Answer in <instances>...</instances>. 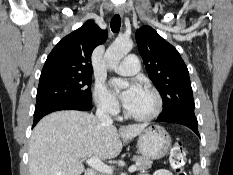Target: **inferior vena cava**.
<instances>
[{
  "label": "inferior vena cava",
  "instance_id": "inferior-vena-cava-1",
  "mask_svg": "<svg viewBox=\"0 0 233 175\" xmlns=\"http://www.w3.org/2000/svg\"><path fill=\"white\" fill-rule=\"evenodd\" d=\"M96 117L99 121H101L104 124H112L113 120L111 116L109 115L108 106L104 103L100 104L96 111Z\"/></svg>",
  "mask_w": 233,
  "mask_h": 175
}]
</instances>
